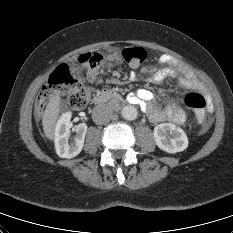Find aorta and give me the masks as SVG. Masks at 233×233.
<instances>
[{"mask_svg": "<svg viewBox=\"0 0 233 233\" xmlns=\"http://www.w3.org/2000/svg\"><path fill=\"white\" fill-rule=\"evenodd\" d=\"M121 114L123 116V118H125L126 120L132 121L135 120L138 116V111L134 106H125L122 111Z\"/></svg>", "mask_w": 233, "mask_h": 233, "instance_id": "aorta-1", "label": "aorta"}]
</instances>
